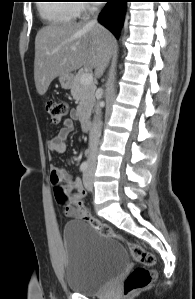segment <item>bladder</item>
<instances>
[{"mask_svg": "<svg viewBox=\"0 0 195 299\" xmlns=\"http://www.w3.org/2000/svg\"><path fill=\"white\" fill-rule=\"evenodd\" d=\"M64 279L69 290L92 295L115 280L129 264L118 242L96 232L82 220L69 221L63 230Z\"/></svg>", "mask_w": 195, "mask_h": 299, "instance_id": "obj_1", "label": "bladder"}]
</instances>
